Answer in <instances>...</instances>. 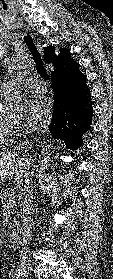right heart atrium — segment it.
Wrapping results in <instances>:
<instances>
[{"mask_svg": "<svg viewBox=\"0 0 113 279\" xmlns=\"http://www.w3.org/2000/svg\"><path fill=\"white\" fill-rule=\"evenodd\" d=\"M14 131H15V135H22L26 132V129L23 126V124L17 123L15 124Z\"/></svg>", "mask_w": 113, "mask_h": 279, "instance_id": "d8ad5b80", "label": "right heart atrium"}]
</instances>
